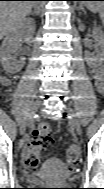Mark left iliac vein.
Listing matches in <instances>:
<instances>
[{"mask_svg":"<svg viewBox=\"0 0 104 189\" xmlns=\"http://www.w3.org/2000/svg\"><path fill=\"white\" fill-rule=\"evenodd\" d=\"M68 112L70 114V122H71L72 126L75 128V130L77 131V133L80 134L81 127H80L79 120L76 118L75 114L72 113L71 110H68Z\"/></svg>","mask_w":104,"mask_h":189,"instance_id":"4c4485c4","label":"left iliac vein"}]
</instances>
